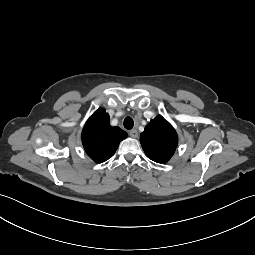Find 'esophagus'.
<instances>
[{"label": "esophagus", "instance_id": "34e87169", "mask_svg": "<svg viewBox=\"0 0 255 255\" xmlns=\"http://www.w3.org/2000/svg\"><path fill=\"white\" fill-rule=\"evenodd\" d=\"M130 136L133 137V138H137L138 137V131L136 129H132L130 132H129Z\"/></svg>", "mask_w": 255, "mask_h": 255}]
</instances>
